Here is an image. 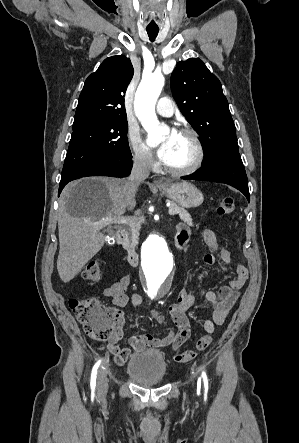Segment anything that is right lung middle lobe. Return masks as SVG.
I'll return each instance as SVG.
<instances>
[{
    "instance_id": "1",
    "label": "right lung middle lobe",
    "mask_w": 299,
    "mask_h": 443,
    "mask_svg": "<svg viewBox=\"0 0 299 443\" xmlns=\"http://www.w3.org/2000/svg\"><path fill=\"white\" fill-rule=\"evenodd\" d=\"M127 131L126 118H108L74 125L61 180L99 162L130 158Z\"/></svg>"
}]
</instances>
